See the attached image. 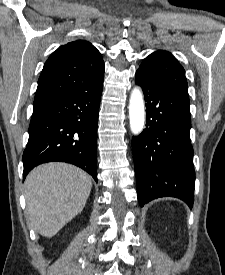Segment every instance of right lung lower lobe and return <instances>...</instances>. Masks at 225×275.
I'll return each instance as SVG.
<instances>
[{"label":"right lung lower lobe","mask_w":225,"mask_h":275,"mask_svg":"<svg viewBox=\"0 0 225 275\" xmlns=\"http://www.w3.org/2000/svg\"><path fill=\"white\" fill-rule=\"evenodd\" d=\"M103 76L88 92H68L34 102L23 153L24 178L52 161L74 164L97 182V121Z\"/></svg>","instance_id":"obj_1"}]
</instances>
